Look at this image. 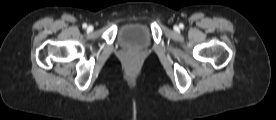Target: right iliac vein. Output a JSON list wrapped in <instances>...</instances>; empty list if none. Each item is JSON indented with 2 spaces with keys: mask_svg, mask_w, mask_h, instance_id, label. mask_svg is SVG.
Here are the masks:
<instances>
[{
  "mask_svg": "<svg viewBox=\"0 0 276 120\" xmlns=\"http://www.w3.org/2000/svg\"><path fill=\"white\" fill-rule=\"evenodd\" d=\"M93 30V27L92 26H89L88 27V31H92Z\"/></svg>",
  "mask_w": 276,
  "mask_h": 120,
  "instance_id": "right-iliac-vein-1",
  "label": "right iliac vein"
}]
</instances>
